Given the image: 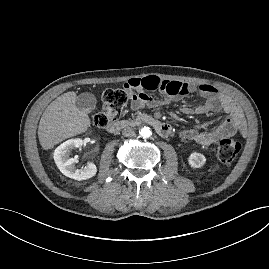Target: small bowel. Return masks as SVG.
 I'll use <instances>...</instances> for the list:
<instances>
[{"label": "small bowel", "mask_w": 269, "mask_h": 269, "mask_svg": "<svg viewBox=\"0 0 269 269\" xmlns=\"http://www.w3.org/2000/svg\"><path fill=\"white\" fill-rule=\"evenodd\" d=\"M131 96L133 110L144 107H160L171 99L181 100L191 93H198L205 102L195 108L184 107L185 114H206L224 112L225 121L214 130L202 131L197 128H188L181 132V137L192 141L199 146L207 147L216 144L219 140L234 133H246V121L240 107L228 96L219 92L214 86L208 84H191L179 81H166L157 76L146 78H132L125 83ZM148 91H159L162 98L150 96Z\"/></svg>", "instance_id": "1"}]
</instances>
